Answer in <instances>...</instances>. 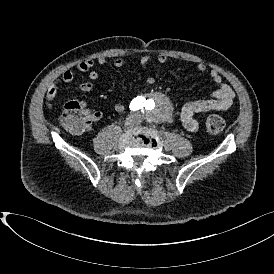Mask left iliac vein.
<instances>
[{
	"instance_id": "4c4485c4",
	"label": "left iliac vein",
	"mask_w": 274,
	"mask_h": 274,
	"mask_svg": "<svg viewBox=\"0 0 274 274\" xmlns=\"http://www.w3.org/2000/svg\"><path fill=\"white\" fill-rule=\"evenodd\" d=\"M140 122H141V121H140V119H139V121H138V123H137V124H140Z\"/></svg>"
}]
</instances>
